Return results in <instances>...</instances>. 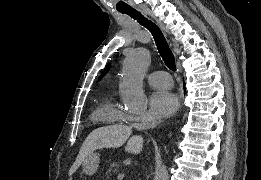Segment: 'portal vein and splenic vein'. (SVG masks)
<instances>
[{"label": "portal vein and splenic vein", "mask_w": 261, "mask_h": 180, "mask_svg": "<svg viewBox=\"0 0 261 180\" xmlns=\"http://www.w3.org/2000/svg\"><path fill=\"white\" fill-rule=\"evenodd\" d=\"M117 177H118V180H123V178H124L123 172H117Z\"/></svg>", "instance_id": "1"}]
</instances>
